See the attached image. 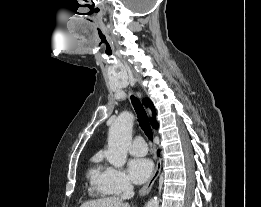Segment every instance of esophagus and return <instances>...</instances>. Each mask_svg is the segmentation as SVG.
<instances>
[{"label": "esophagus", "mask_w": 261, "mask_h": 207, "mask_svg": "<svg viewBox=\"0 0 261 207\" xmlns=\"http://www.w3.org/2000/svg\"><path fill=\"white\" fill-rule=\"evenodd\" d=\"M148 111H149V114L151 116V111L149 109H148ZM160 170H161V160L157 159L156 166H155L153 174L151 175V177L147 181V183L139 191L140 196L147 195L150 192L153 184L155 183L156 179L158 178V176L160 174Z\"/></svg>", "instance_id": "esophagus-1"}]
</instances>
